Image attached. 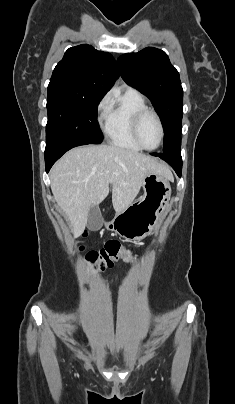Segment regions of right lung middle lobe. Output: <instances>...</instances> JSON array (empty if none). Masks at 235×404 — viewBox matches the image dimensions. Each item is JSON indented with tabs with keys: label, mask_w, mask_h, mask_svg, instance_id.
I'll list each match as a JSON object with an SVG mask.
<instances>
[{
	"label": "right lung middle lobe",
	"mask_w": 235,
	"mask_h": 404,
	"mask_svg": "<svg viewBox=\"0 0 235 404\" xmlns=\"http://www.w3.org/2000/svg\"><path fill=\"white\" fill-rule=\"evenodd\" d=\"M101 99L64 89H48L46 142L75 137L89 144L101 143L103 135L97 122V107Z\"/></svg>",
	"instance_id": "right-lung-middle-lobe-1"
}]
</instances>
